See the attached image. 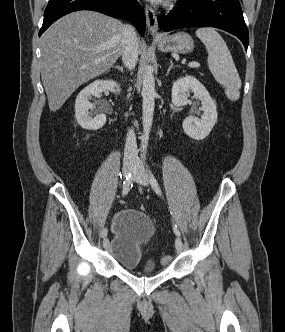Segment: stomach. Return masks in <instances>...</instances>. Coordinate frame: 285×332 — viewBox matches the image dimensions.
<instances>
[{
  "label": "stomach",
  "mask_w": 285,
  "mask_h": 332,
  "mask_svg": "<svg viewBox=\"0 0 285 332\" xmlns=\"http://www.w3.org/2000/svg\"><path fill=\"white\" fill-rule=\"evenodd\" d=\"M158 47L162 52H177L187 54L193 51L194 41L185 32H177L173 35H166L157 40Z\"/></svg>",
  "instance_id": "1"
}]
</instances>
